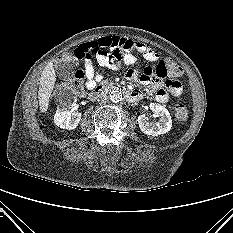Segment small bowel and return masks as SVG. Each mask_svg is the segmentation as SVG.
I'll list each match as a JSON object with an SVG mask.
<instances>
[{"label":"small bowel","mask_w":233,"mask_h":233,"mask_svg":"<svg viewBox=\"0 0 233 233\" xmlns=\"http://www.w3.org/2000/svg\"><path fill=\"white\" fill-rule=\"evenodd\" d=\"M134 53L140 54L151 65L145 67L140 75L133 70L126 72V78L134 81L139 79L144 84H149L154 91L155 99L166 103L170 97L179 96L182 85L174 79L163 80L158 73V66L162 57L152 48L122 37H102L90 42L80 44L74 51L78 60L83 62L84 73L87 78V88L92 89L102 79V74L96 70L94 58L99 66L112 70H121L124 65L136 62ZM135 100L142 96L138 90L133 91Z\"/></svg>","instance_id":"c3829d8e"}]
</instances>
